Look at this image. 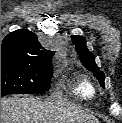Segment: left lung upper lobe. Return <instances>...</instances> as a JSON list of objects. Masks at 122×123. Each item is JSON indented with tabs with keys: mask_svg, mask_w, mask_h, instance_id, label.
I'll return each instance as SVG.
<instances>
[{
	"mask_svg": "<svg viewBox=\"0 0 122 123\" xmlns=\"http://www.w3.org/2000/svg\"><path fill=\"white\" fill-rule=\"evenodd\" d=\"M71 39L75 45L77 54L79 55V59L82 64L93 73V75L100 82L101 86L104 87V74L99 70L98 66L96 65L94 55L87 49L85 39L82 36L76 35H72Z\"/></svg>",
	"mask_w": 122,
	"mask_h": 123,
	"instance_id": "left-lung-upper-lobe-1",
	"label": "left lung upper lobe"
}]
</instances>
